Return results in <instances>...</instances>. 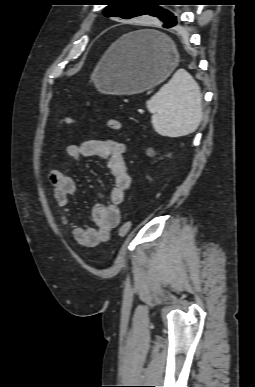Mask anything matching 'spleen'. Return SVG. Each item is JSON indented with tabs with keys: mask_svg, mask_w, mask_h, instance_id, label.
<instances>
[{
	"mask_svg": "<svg viewBox=\"0 0 255 387\" xmlns=\"http://www.w3.org/2000/svg\"><path fill=\"white\" fill-rule=\"evenodd\" d=\"M154 130L167 137L196 131L202 120V94L198 83L184 69L146 102Z\"/></svg>",
	"mask_w": 255,
	"mask_h": 387,
	"instance_id": "spleen-1",
	"label": "spleen"
}]
</instances>
